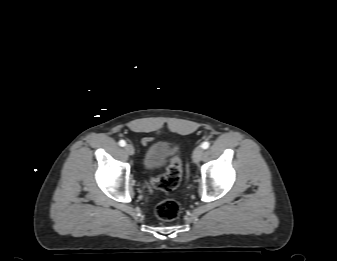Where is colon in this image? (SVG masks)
Returning <instances> with one entry per match:
<instances>
[{"label":"colon","instance_id":"1","mask_svg":"<svg viewBox=\"0 0 337 261\" xmlns=\"http://www.w3.org/2000/svg\"><path fill=\"white\" fill-rule=\"evenodd\" d=\"M182 163L178 155L171 158L165 173L151 180L153 187L163 190L172 191L176 189L181 181ZM156 216L164 221H172L179 216L180 205L177 201L168 199L160 202L155 210Z\"/></svg>","mask_w":337,"mask_h":261}]
</instances>
